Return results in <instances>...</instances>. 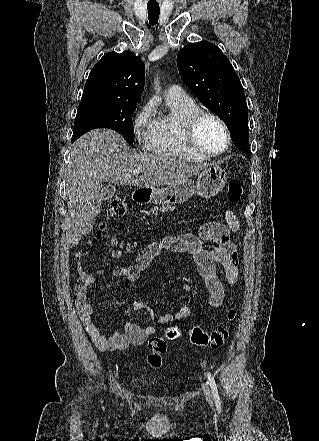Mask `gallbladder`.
Wrapping results in <instances>:
<instances>
[{"label":"gallbladder","instance_id":"bac80fb5","mask_svg":"<svg viewBox=\"0 0 319 441\" xmlns=\"http://www.w3.org/2000/svg\"><path fill=\"white\" fill-rule=\"evenodd\" d=\"M116 191V187L113 184H108L103 187L101 191V201H107L110 200Z\"/></svg>","mask_w":319,"mask_h":441}]
</instances>
